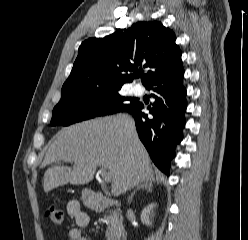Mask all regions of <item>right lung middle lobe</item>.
Masks as SVG:
<instances>
[{"label": "right lung middle lobe", "mask_w": 248, "mask_h": 240, "mask_svg": "<svg viewBox=\"0 0 248 240\" xmlns=\"http://www.w3.org/2000/svg\"><path fill=\"white\" fill-rule=\"evenodd\" d=\"M120 89H63L54 107L51 125H64L122 112L136 102L119 94ZM130 100V103L126 101Z\"/></svg>", "instance_id": "1"}]
</instances>
